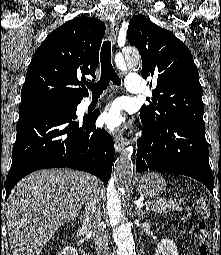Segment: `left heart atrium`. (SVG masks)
Wrapping results in <instances>:
<instances>
[{
  "instance_id": "left-heart-atrium-1",
  "label": "left heart atrium",
  "mask_w": 221,
  "mask_h": 255,
  "mask_svg": "<svg viewBox=\"0 0 221 255\" xmlns=\"http://www.w3.org/2000/svg\"><path fill=\"white\" fill-rule=\"evenodd\" d=\"M101 119L109 129L113 130L118 128L125 121L120 102L116 101L112 103L110 107L104 111Z\"/></svg>"
}]
</instances>
